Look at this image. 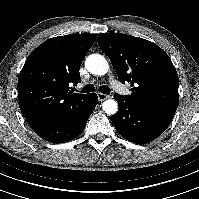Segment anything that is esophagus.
<instances>
[{
  "label": "esophagus",
  "mask_w": 199,
  "mask_h": 199,
  "mask_svg": "<svg viewBox=\"0 0 199 199\" xmlns=\"http://www.w3.org/2000/svg\"><path fill=\"white\" fill-rule=\"evenodd\" d=\"M97 96H98L99 101H104V100H106L107 98H109L108 95L103 94V93H100V92L97 93Z\"/></svg>",
  "instance_id": "34e87169"
}]
</instances>
